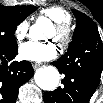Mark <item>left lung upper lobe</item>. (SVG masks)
<instances>
[{
  "mask_svg": "<svg viewBox=\"0 0 103 103\" xmlns=\"http://www.w3.org/2000/svg\"><path fill=\"white\" fill-rule=\"evenodd\" d=\"M72 12L74 13V16L77 20V25L73 33V41L69 45L68 51L70 48L75 46L78 40H81L90 31H98L96 23L89 16L77 10H72Z\"/></svg>",
  "mask_w": 103,
  "mask_h": 103,
  "instance_id": "left-lung-upper-lobe-1",
  "label": "left lung upper lobe"
}]
</instances>
